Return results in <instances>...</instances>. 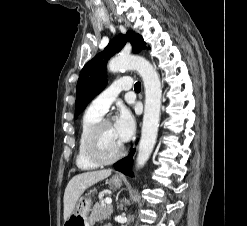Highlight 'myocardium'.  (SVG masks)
Segmentation results:
<instances>
[{
    "instance_id": "myocardium-1",
    "label": "myocardium",
    "mask_w": 247,
    "mask_h": 226,
    "mask_svg": "<svg viewBox=\"0 0 247 226\" xmlns=\"http://www.w3.org/2000/svg\"><path fill=\"white\" fill-rule=\"evenodd\" d=\"M108 125H111V122L109 120L106 119L100 120L91 128V130L88 132L85 138V142H84L85 154L89 160H91L93 163L97 165H109L115 163L116 161L121 159L125 154L124 145L121 147V149L116 155L110 158H104L98 153L96 149V140L102 129Z\"/></svg>"
}]
</instances>
